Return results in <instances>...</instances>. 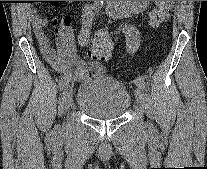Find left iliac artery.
Returning <instances> with one entry per match:
<instances>
[{"label":"left iliac artery","instance_id":"left-iliac-artery-1","mask_svg":"<svg viewBox=\"0 0 207 169\" xmlns=\"http://www.w3.org/2000/svg\"><path fill=\"white\" fill-rule=\"evenodd\" d=\"M122 33L124 39H127V42H125L126 51H129V54H136L138 49L136 43L140 42V34H138L137 30H134V26H125V30H123ZM133 82L137 87H145V80L143 77H137Z\"/></svg>","mask_w":207,"mask_h":169}]
</instances>
